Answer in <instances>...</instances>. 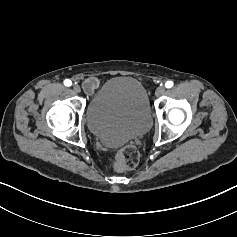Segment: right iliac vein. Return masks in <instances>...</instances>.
Masks as SVG:
<instances>
[{
    "instance_id": "63e3f726",
    "label": "right iliac vein",
    "mask_w": 237,
    "mask_h": 237,
    "mask_svg": "<svg viewBox=\"0 0 237 237\" xmlns=\"http://www.w3.org/2000/svg\"><path fill=\"white\" fill-rule=\"evenodd\" d=\"M73 89H74V91H75L76 93H80V92H81V88H80V86L77 85V84H75V85L73 86Z\"/></svg>"
}]
</instances>
